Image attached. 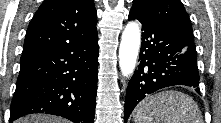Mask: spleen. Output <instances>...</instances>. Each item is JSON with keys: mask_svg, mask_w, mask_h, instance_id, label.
Listing matches in <instances>:
<instances>
[{"mask_svg": "<svg viewBox=\"0 0 221 123\" xmlns=\"http://www.w3.org/2000/svg\"><path fill=\"white\" fill-rule=\"evenodd\" d=\"M135 123H203L198 104L187 94L169 90L142 100L133 112Z\"/></svg>", "mask_w": 221, "mask_h": 123, "instance_id": "3e777b00", "label": "spleen"}]
</instances>
